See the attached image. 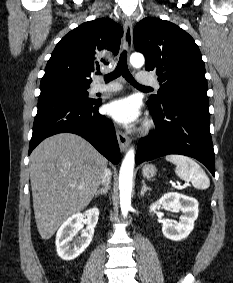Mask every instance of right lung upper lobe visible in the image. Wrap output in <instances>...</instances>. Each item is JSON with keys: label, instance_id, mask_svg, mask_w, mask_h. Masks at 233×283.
Wrapping results in <instances>:
<instances>
[{"label": "right lung upper lobe", "instance_id": "1", "mask_svg": "<svg viewBox=\"0 0 233 283\" xmlns=\"http://www.w3.org/2000/svg\"><path fill=\"white\" fill-rule=\"evenodd\" d=\"M123 30L110 18L81 24L56 45L41 82L66 80L90 86L94 70H106L108 60L119 52Z\"/></svg>", "mask_w": 233, "mask_h": 283}]
</instances>
